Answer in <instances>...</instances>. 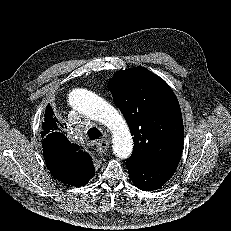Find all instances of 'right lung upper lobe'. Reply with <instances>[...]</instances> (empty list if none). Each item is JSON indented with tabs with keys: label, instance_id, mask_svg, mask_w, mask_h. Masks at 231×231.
<instances>
[{
	"label": "right lung upper lobe",
	"instance_id": "right-lung-upper-lobe-1",
	"mask_svg": "<svg viewBox=\"0 0 231 231\" xmlns=\"http://www.w3.org/2000/svg\"><path fill=\"white\" fill-rule=\"evenodd\" d=\"M44 117L43 154L51 175L72 186L85 185L95 174L90 155L62 133L63 125L56 119L50 104Z\"/></svg>",
	"mask_w": 231,
	"mask_h": 231
}]
</instances>
